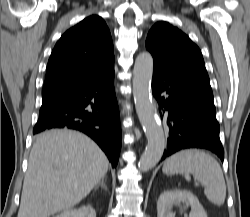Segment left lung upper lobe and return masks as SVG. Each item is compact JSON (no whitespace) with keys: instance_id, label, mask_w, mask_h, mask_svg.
<instances>
[{"instance_id":"5c2ea615","label":"left lung upper lobe","mask_w":250,"mask_h":217,"mask_svg":"<svg viewBox=\"0 0 250 217\" xmlns=\"http://www.w3.org/2000/svg\"><path fill=\"white\" fill-rule=\"evenodd\" d=\"M146 48L154 64L170 71L206 75L200 49L181 30L167 22L156 23L148 33Z\"/></svg>"}]
</instances>
